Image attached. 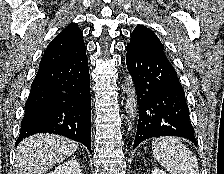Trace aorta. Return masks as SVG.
<instances>
[{"instance_id": "1", "label": "aorta", "mask_w": 224, "mask_h": 174, "mask_svg": "<svg viewBox=\"0 0 224 174\" xmlns=\"http://www.w3.org/2000/svg\"><path fill=\"white\" fill-rule=\"evenodd\" d=\"M135 91L131 90L129 91L128 94V99L126 101V109L128 110V114L130 115V117H134L136 114V97H135Z\"/></svg>"}]
</instances>
